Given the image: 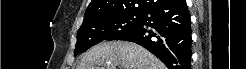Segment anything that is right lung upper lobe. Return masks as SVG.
Returning <instances> with one entry per match:
<instances>
[{
    "instance_id": "cb5924a9",
    "label": "right lung upper lobe",
    "mask_w": 246,
    "mask_h": 69,
    "mask_svg": "<svg viewBox=\"0 0 246 69\" xmlns=\"http://www.w3.org/2000/svg\"><path fill=\"white\" fill-rule=\"evenodd\" d=\"M163 1L165 0H92L83 22L121 14H143Z\"/></svg>"
}]
</instances>
